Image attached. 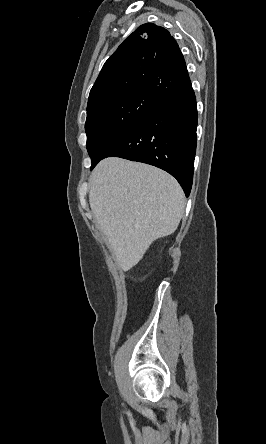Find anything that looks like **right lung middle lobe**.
<instances>
[{"mask_svg":"<svg viewBox=\"0 0 266 444\" xmlns=\"http://www.w3.org/2000/svg\"><path fill=\"white\" fill-rule=\"evenodd\" d=\"M160 101L154 94L134 91L106 99L87 109L85 131L91 170L103 158L107 148L141 123Z\"/></svg>","mask_w":266,"mask_h":444,"instance_id":"right-lung-middle-lobe-1","label":"right lung middle lobe"}]
</instances>
